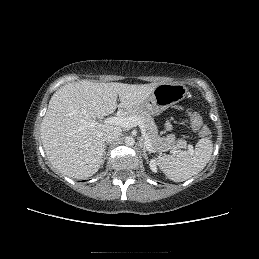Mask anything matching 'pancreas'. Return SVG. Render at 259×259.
<instances>
[{
	"label": "pancreas",
	"mask_w": 259,
	"mask_h": 259,
	"mask_svg": "<svg viewBox=\"0 0 259 259\" xmlns=\"http://www.w3.org/2000/svg\"><path fill=\"white\" fill-rule=\"evenodd\" d=\"M125 117L136 116L139 117L144 125L148 135V138L151 142L153 150L157 152H165L172 149H181L187 148V142L184 139L176 140L174 134H169L166 137H160L158 135L157 126L155 125L154 119L152 116L143 110L140 109H131L127 110L124 113Z\"/></svg>",
	"instance_id": "obj_1"
}]
</instances>
